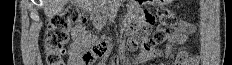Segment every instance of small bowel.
<instances>
[{
	"label": "small bowel",
	"instance_id": "1",
	"mask_svg": "<svg viewBox=\"0 0 232 65\" xmlns=\"http://www.w3.org/2000/svg\"><path fill=\"white\" fill-rule=\"evenodd\" d=\"M121 15L123 17L126 15H128V17H142L143 23H140V26L134 27V30L137 31L135 35L134 32H124V35H115V40H126V37H130L128 38V42L124 43L125 47H137L140 38H146V34L150 33L153 16L149 12H128V14L123 12ZM194 32L195 30L192 25L185 21H180L175 33L169 38V43L164 51H145L139 55L136 61L138 63H142L153 57H175V50L183 46L188 40L189 36L194 34ZM71 34L73 42L67 49V54L69 57L68 65H82L80 53L94 42V36L87 34L83 25L75 26L72 29ZM198 63V56L189 55L187 51L181 50L176 55L173 65H198ZM101 64L105 65L106 61L103 60Z\"/></svg>",
	"mask_w": 232,
	"mask_h": 65
}]
</instances>
